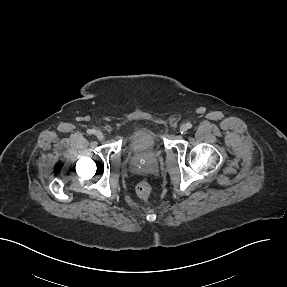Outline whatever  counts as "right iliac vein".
Instances as JSON below:
<instances>
[{"label":"right iliac vein","instance_id":"63e3f726","mask_svg":"<svg viewBox=\"0 0 287 287\" xmlns=\"http://www.w3.org/2000/svg\"><path fill=\"white\" fill-rule=\"evenodd\" d=\"M95 135H96L97 139H99V140H103L104 139V134L101 131H97L95 133Z\"/></svg>","mask_w":287,"mask_h":287}]
</instances>
